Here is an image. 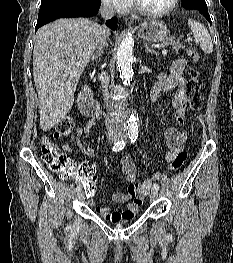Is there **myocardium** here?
Listing matches in <instances>:
<instances>
[{"mask_svg": "<svg viewBox=\"0 0 233 263\" xmlns=\"http://www.w3.org/2000/svg\"><path fill=\"white\" fill-rule=\"evenodd\" d=\"M179 0H171V3L169 4V6L161 11H148L144 8H142L137 0H133V8L136 12H138L139 14L146 16V17H151V18H158V17H163L169 13H171L176 6L178 5Z\"/></svg>", "mask_w": 233, "mask_h": 263, "instance_id": "obj_1", "label": "myocardium"}]
</instances>
